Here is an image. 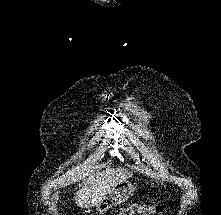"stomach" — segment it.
I'll return each instance as SVG.
<instances>
[{"label":"stomach","instance_id":"obj_1","mask_svg":"<svg viewBox=\"0 0 221 215\" xmlns=\"http://www.w3.org/2000/svg\"><path fill=\"white\" fill-rule=\"evenodd\" d=\"M135 190L136 188L131 182L127 180L120 182L107 193L105 198L98 205H96V211L99 214H104L113 206L127 201L134 194Z\"/></svg>","mask_w":221,"mask_h":215}]
</instances>
